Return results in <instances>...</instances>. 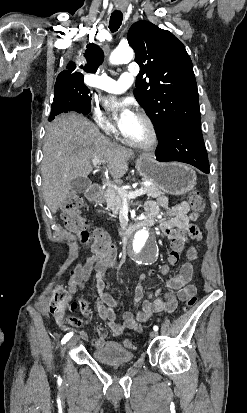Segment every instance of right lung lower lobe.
Returning a JSON list of instances; mask_svg holds the SVG:
<instances>
[{
    "instance_id": "98d812e1",
    "label": "right lung lower lobe",
    "mask_w": 247,
    "mask_h": 413,
    "mask_svg": "<svg viewBox=\"0 0 247 413\" xmlns=\"http://www.w3.org/2000/svg\"><path fill=\"white\" fill-rule=\"evenodd\" d=\"M91 110V103L88 104L75 97H60L54 98L52 103L51 114L49 121H52L56 115L60 113H67L69 111H75L87 115Z\"/></svg>"
}]
</instances>
